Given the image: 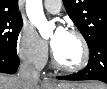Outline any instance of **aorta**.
I'll list each match as a JSON object with an SVG mask.
<instances>
[{
	"label": "aorta",
	"mask_w": 107,
	"mask_h": 89,
	"mask_svg": "<svg viewBox=\"0 0 107 89\" xmlns=\"http://www.w3.org/2000/svg\"><path fill=\"white\" fill-rule=\"evenodd\" d=\"M26 13L30 22L38 29L43 38L50 37L55 29L52 22H48L44 12L42 0H26Z\"/></svg>",
	"instance_id": "1"
}]
</instances>
